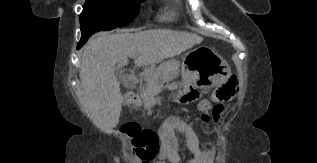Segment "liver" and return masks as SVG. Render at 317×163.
I'll return each instance as SVG.
<instances>
[{
  "label": "liver",
  "instance_id": "1",
  "mask_svg": "<svg viewBox=\"0 0 317 163\" xmlns=\"http://www.w3.org/2000/svg\"><path fill=\"white\" fill-rule=\"evenodd\" d=\"M197 34L168 29L136 33H99L83 49L79 77L83 110L101 130H112L119 123L123 96L115 76V65L124 66L128 58L135 65H153L200 44Z\"/></svg>",
  "mask_w": 317,
  "mask_h": 163
}]
</instances>
